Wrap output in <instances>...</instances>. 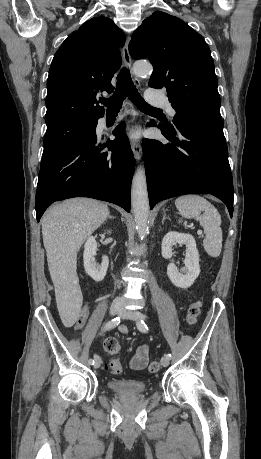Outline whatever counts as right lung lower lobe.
Returning <instances> with one entry per match:
<instances>
[{"instance_id": "98d812e1", "label": "right lung lower lobe", "mask_w": 261, "mask_h": 459, "mask_svg": "<svg viewBox=\"0 0 261 459\" xmlns=\"http://www.w3.org/2000/svg\"><path fill=\"white\" fill-rule=\"evenodd\" d=\"M114 134L113 141L103 143L96 137L41 162L35 206L38 222L53 202L72 197L108 201L130 212L133 153L121 126ZM105 147L111 153L103 152Z\"/></svg>"}]
</instances>
